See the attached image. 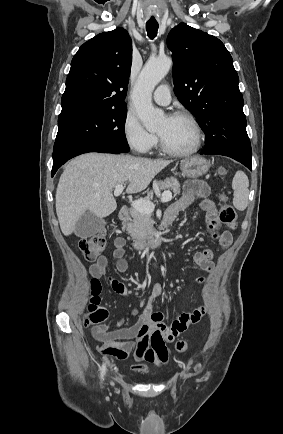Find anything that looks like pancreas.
I'll return each mask as SVG.
<instances>
[{"label": "pancreas", "mask_w": 283, "mask_h": 434, "mask_svg": "<svg viewBox=\"0 0 283 434\" xmlns=\"http://www.w3.org/2000/svg\"><path fill=\"white\" fill-rule=\"evenodd\" d=\"M158 186L162 190H171L174 196L180 194V184L175 178L160 181ZM151 196L145 198L150 201ZM129 214L132 217L130 221L123 222V230L126 229L137 246H143L146 240L151 236L153 231V220L151 213H142L135 208H130Z\"/></svg>", "instance_id": "obj_1"}]
</instances>
